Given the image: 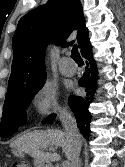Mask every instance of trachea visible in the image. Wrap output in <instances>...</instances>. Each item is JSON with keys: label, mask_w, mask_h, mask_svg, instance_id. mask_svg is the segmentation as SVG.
Returning <instances> with one entry per match:
<instances>
[{"label": "trachea", "mask_w": 125, "mask_h": 167, "mask_svg": "<svg viewBox=\"0 0 125 167\" xmlns=\"http://www.w3.org/2000/svg\"><path fill=\"white\" fill-rule=\"evenodd\" d=\"M71 58L77 63L82 64L83 60L78 52L77 45H74L71 51Z\"/></svg>", "instance_id": "3493384b"}]
</instances>
